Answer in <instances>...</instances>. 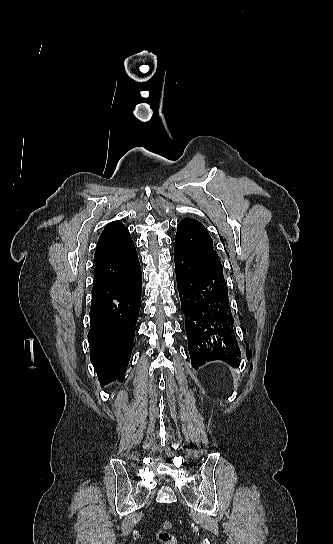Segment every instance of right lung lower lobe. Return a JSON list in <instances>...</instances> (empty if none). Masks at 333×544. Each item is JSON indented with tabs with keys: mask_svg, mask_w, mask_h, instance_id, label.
Wrapping results in <instances>:
<instances>
[{
	"mask_svg": "<svg viewBox=\"0 0 333 544\" xmlns=\"http://www.w3.org/2000/svg\"><path fill=\"white\" fill-rule=\"evenodd\" d=\"M140 263L112 284L92 292L88 341L101 385L123 379L140 310Z\"/></svg>",
	"mask_w": 333,
	"mask_h": 544,
	"instance_id": "98d812e1",
	"label": "right lung lower lobe"
}]
</instances>
